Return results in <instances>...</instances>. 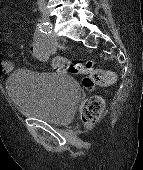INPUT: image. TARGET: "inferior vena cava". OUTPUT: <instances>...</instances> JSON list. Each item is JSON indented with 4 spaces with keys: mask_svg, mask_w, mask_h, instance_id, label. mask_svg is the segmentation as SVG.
<instances>
[{
    "mask_svg": "<svg viewBox=\"0 0 143 170\" xmlns=\"http://www.w3.org/2000/svg\"><path fill=\"white\" fill-rule=\"evenodd\" d=\"M38 6L41 11H44L46 9L45 0H38Z\"/></svg>",
    "mask_w": 143,
    "mask_h": 170,
    "instance_id": "inferior-vena-cava-1",
    "label": "inferior vena cava"
}]
</instances>
